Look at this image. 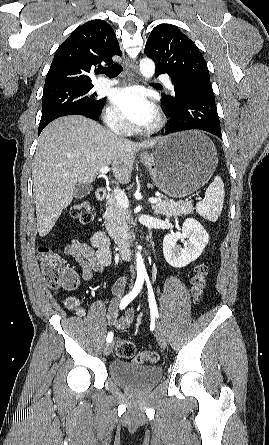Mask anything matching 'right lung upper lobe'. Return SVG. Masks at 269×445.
I'll list each match as a JSON object with an SVG mask.
<instances>
[{
  "label": "right lung upper lobe",
  "mask_w": 269,
  "mask_h": 445,
  "mask_svg": "<svg viewBox=\"0 0 269 445\" xmlns=\"http://www.w3.org/2000/svg\"><path fill=\"white\" fill-rule=\"evenodd\" d=\"M121 56L112 27L104 20L89 21L75 29L55 52L44 90L71 85H92L89 74L101 63Z\"/></svg>",
  "instance_id": "1"
}]
</instances>
